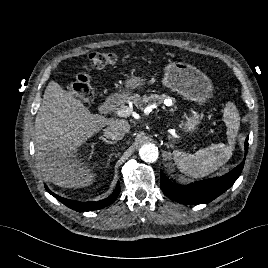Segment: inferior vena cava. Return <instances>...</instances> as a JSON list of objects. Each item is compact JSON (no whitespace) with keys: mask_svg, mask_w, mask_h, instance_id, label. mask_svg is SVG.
Returning a JSON list of instances; mask_svg holds the SVG:
<instances>
[{"mask_svg":"<svg viewBox=\"0 0 268 268\" xmlns=\"http://www.w3.org/2000/svg\"><path fill=\"white\" fill-rule=\"evenodd\" d=\"M103 131L104 136L111 140H121L126 133V129L118 124L109 125Z\"/></svg>","mask_w":268,"mask_h":268,"instance_id":"inferior-vena-cava-1","label":"inferior vena cava"}]
</instances>
